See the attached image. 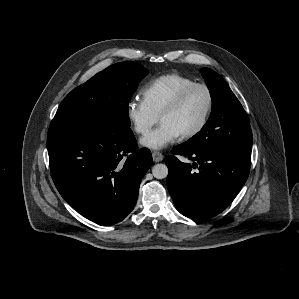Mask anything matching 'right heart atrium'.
<instances>
[{"instance_id": "obj_1", "label": "right heart atrium", "mask_w": 299, "mask_h": 299, "mask_svg": "<svg viewBox=\"0 0 299 299\" xmlns=\"http://www.w3.org/2000/svg\"><path fill=\"white\" fill-rule=\"evenodd\" d=\"M126 116L134 132L139 135L148 133L158 120V116L139 99H132L127 103Z\"/></svg>"}]
</instances>
